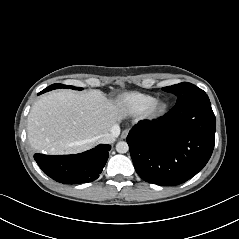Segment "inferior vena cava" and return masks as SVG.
<instances>
[{
    "label": "inferior vena cava",
    "instance_id": "1",
    "mask_svg": "<svg viewBox=\"0 0 239 239\" xmlns=\"http://www.w3.org/2000/svg\"><path fill=\"white\" fill-rule=\"evenodd\" d=\"M120 134V127L114 126L111 132L104 133L99 136L98 140L103 144H111L115 141V138Z\"/></svg>",
    "mask_w": 239,
    "mask_h": 239
}]
</instances>
